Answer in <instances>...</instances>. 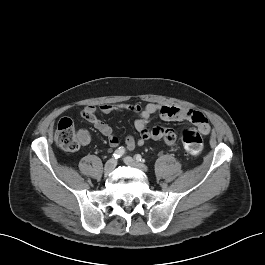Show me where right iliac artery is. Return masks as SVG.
Returning a JSON list of instances; mask_svg holds the SVG:
<instances>
[{
  "instance_id": "right-iliac-artery-1",
  "label": "right iliac artery",
  "mask_w": 265,
  "mask_h": 265,
  "mask_svg": "<svg viewBox=\"0 0 265 265\" xmlns=\"http://www.w3.org/2000/svg\"><path fill=\"white\" fill-rule=\"evenodd\" d=\"M124 154H125V149L123 147H120L117 150H115V152L113 153V157L115 159H118L122 157Z\"/></svg>"
}]
</instances>
